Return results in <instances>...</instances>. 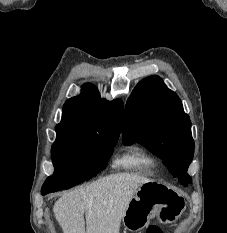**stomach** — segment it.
<instances>
[{"mask_svg": "<svg viewBox=\"0 0 227 233\" xmlns=\"http://www.w3.org/2000/svg\"><path fill=\"white\" fill-rule=\"evenodd\" d=\"M184 209L182 194L165 183L152 181L138 188L123 223L128 230L139 231L154 217L162 223H171L180 217Z\"/></svg>", "mask_w": 227, "mask_h": 233, "instance_id": "stomach-1", "label": "stomach"}]
</instances>
